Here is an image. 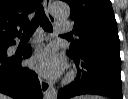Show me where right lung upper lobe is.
<instances>
[{
  "label": "right lung upper lobe",
  "mask_w": 128,
  "mask_h": 99,
  "mask_svg": "<svg viewBox=\"0 0 128 99\" xmlns=\"http://www.w3.org/2000/svg\"><path fill=\"white\" fill-rule=\"evenodd\" d=\"M39 2L40 0H0V43L20 36L18 28L29 22L28 14L35 10Z\"/></svg>",
  "instance_id": "right-lung-upper-lobe-1"
}]
</instances>
